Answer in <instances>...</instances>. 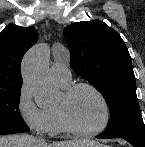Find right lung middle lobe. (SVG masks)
I'll use <instances>...</instances> for the list:
<instances>
[{
  "mask_svg": "<svg viewBox=\"0 0 145 147\" xmlns=\"http://www.w3.org/2000/svg\"><path fill=\"white\" fill-rule=\"evenodd\" d=\"M21 86L11 89H0V135L28 132L20 111Z\"/></svg>",
  "mask_w": 145,
  "mask_h": 147,
  "instance_id": "dd1d6c3e",
  "label": "right lung middle lobe"
}]
</instances>
